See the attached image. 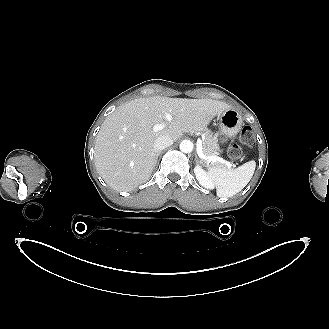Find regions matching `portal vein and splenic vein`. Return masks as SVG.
Segmentation results:
<instances>
[{"instance_id":"1","label":"portal vein and splenic vein","mask_w":329,"mask_h":329,"mask_svg":"<svg viewBox=\"0 0 329 329\" xmlns=\"http://www.w3.org/2000/svg\"><path fill=\"white\" fill-rule=\"evenodd\" d=\"M165 117H166V120H167L168 122H171V120H172V116H171L170 114L167 113ZM165 127H166V124H165V123H163V124H156V125L153 126V131L157 132V131H160V130L164 129ZM202 149H203L202 141L199 139V140L197 141V154H198L201 158H203V159H205V160H207V161H209V162H212V163L220 162V163L225 164V165L228 166V167H232V166H233V164H232L231 162L226 161V160H224L223 158H221V157H219V156H217V155H213V156H205V155L203 154Z\"/></svg>"}]
</instances>
